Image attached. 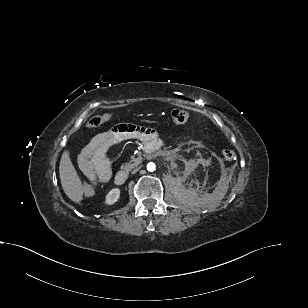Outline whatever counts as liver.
Instances as JSON below:
<instances>
[{
  "mask_svg": "<svg viewBox=\"0 0 308 308\" xmlns=\"http://www.w3.org/2000/svg\"><path fill=\"white\" fill-rule=\"evenodd\" d=\"M59 174L65 194L74 202L79 203L83 198V185L72 164L68 150L62 154Z\"/></svg>",
  "mask_w": 308,
  "mask_h": 308,
  "instance_id": "1",
  "label": "liver"
}]
</instances>
